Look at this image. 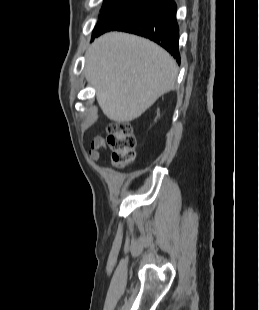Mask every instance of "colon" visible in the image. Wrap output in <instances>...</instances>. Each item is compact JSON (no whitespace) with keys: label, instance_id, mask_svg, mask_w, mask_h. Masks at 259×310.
I'll list each match as a JSON object with an SVG mask.
<instances>
[{"label":"colon","instance_id":"5ec220e1","mask_svg":"<svg viewBox=\"0 0 259 310\" xmlns=\"http://www.w3.org/2000/svg\"><path fill=\"white\" fill-rule=\"evenodd\" d=\"M107 141L113 151L114 165L125 167L135 160L136 138L130 125L126 123L110 125Z\"/></svg>","mask_w":259,"mask_h":310}]
</instances>
